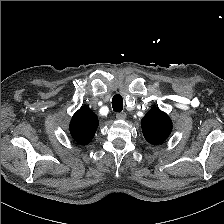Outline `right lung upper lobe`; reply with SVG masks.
Masks as SVG:
<instances>
[{
  "mask_svg": "<svg viewBox=\"0 0 224 224\" xmlns=\"http://www.w3.org/2000/svg\"><path fill=\"white\" fill-rule=\"evenodd\" d=\"M98 124L96 114L89 107L82 106L71 119V136L77 143L87 145L93 139Z\"/></svg>",
  "mask_w": 224,
  "mask_h": 224,
  "instance_id": "right-lung-upper-lobe-1",
  "label": "right lung upper lobe"
}]
</instances>
